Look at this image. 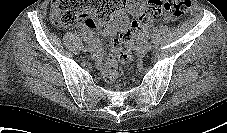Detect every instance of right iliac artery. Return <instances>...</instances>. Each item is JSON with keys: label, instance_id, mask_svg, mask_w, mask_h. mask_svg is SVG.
Here are the masks:
<instances>
[{"label": "right iliac artery", "instance_id": "82829eb1", "mask_svg": "<svg viewBox=\"0 0 227 133\" xmlns=\"http://www.w3.org/2000/svg\"><path fill=\"white\" fill-rule=\"evenodd\" d=\"M86 48V46H82V50H84Z\"/></svg>", "mask_w": 227, "mask_h": 133}]
</instances>
